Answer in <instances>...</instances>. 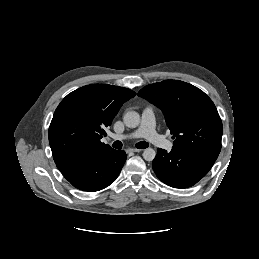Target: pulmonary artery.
<instances>
[{
  "label": "pulmonary artery",
  "mask_w": 259,
  "mask_h": 259,
  "mask_svg": "<svg viewBox=\"0 0 259 259\" xmlns=\"http://www.w3.org/2000/svg\"><path fill=\"white\" fill-rule=\"evenodd\" d=\"M115 140H127L136 138H146L154 145L170 150L173 145L171 142L166 140L160 134L157 133L155 129V115L152 107H146L142 112L141 124L135 131L123 134L114 135Z\"/></svg>",
  "instance_id": "obj_1"
}]
</instances>
